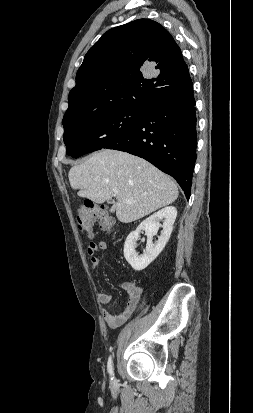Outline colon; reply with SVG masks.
<instances>
[{
    "instance_id": "obj_1",
    "label": "colon",
    "mask_w": 253,
    "mask_h": 413,
    "mask_svg": "<svg viewBox=\"0 0 253 413\" xmlns=\"http://www.w3.org/2000/svg\"><path fill=\"white\" fill-rule=\"evenodd\" d=\"M98 221L100 228L105 232H111L114 226L113 217L107 212L104 205L89 202L80 206L77 212V224L81 232L92 236V227Z\"/></svg>"
}]
</instances>
